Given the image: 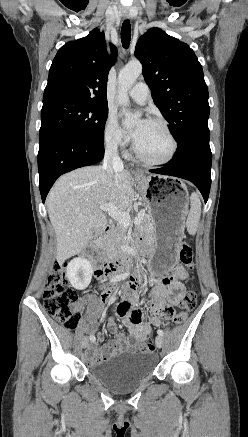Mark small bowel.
Returning a JSON list of instances; mask_svg holds the SVG:
<instances>
[{
  "instance_id": "c3829d8e",
  "label": "small bowel",
  "mask_w": 248,
  "mask_h": 437,
  "mask_svg": "<svg viewBox=\"0 0 248 437\" xmlns=\"http://www.w3.org/2000/svg\"><path fill=\"white\" fill-rule=\"evenodd\" d=\"M188 277L187 270L178 266L172 278H164L157 282L151 289L149 294V301L151 305V316L148 322L142 320L141 312L138 309H132L130 305L138 300V289L142 284L139 277L134 278L125 294L124 300L118 305L117 312L129 329L131 338L137 342H143L149 336L151 327H158L168 321L173 315V306L177 305L185 292V285L183 283ZM115 285H101L99 288L100 296L89 295L84 299L93 309L100 310L101 307L112 300ZM108 328L115 338L104 344L102 347H97L92 344L87 349V358L91 364H97L102 361L121 353L124 350L134 349L135 346L131 344L127 336L120 332L117 323L114 319H109ZM105 339L104 333L97 335L98 341ZM96 340V338H95Z\"/></svg>"
}]
</instances>
